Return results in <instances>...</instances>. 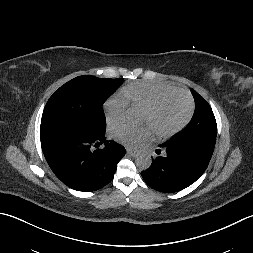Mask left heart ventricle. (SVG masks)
I'll use <instances>...</instances> for the list:
<instances>
[{"instance_id": "left-heart-ventricle-1", "label": "left heart ventricle", "mask_w": 253, "mask_h": 253, "mask_svg": "<svg viewBox=\"0 0 253 253\" xmlns=\"http://www.w3.org/2000/svg\"><path fill=\"white\" fill-rule=\"evenodd\" d=\"M187 113V103L177 95L164 98L153 112L143 110L141 120L154 132H165L183 120Z\"/></svg>"}]
</instances>
